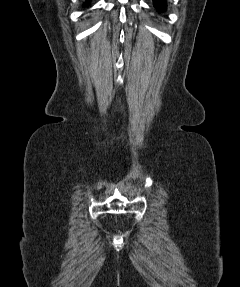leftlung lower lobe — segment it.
I'll use <instances>...</instances> for the list:
<instances>
[{"mask_svg":"<svg viewBox=\"0 0 240 287\" xmlns=\"http://www.w3.org/2000/svg\"><path fill=\"white\" fill-rule=\"evenodd\" d=\"M156 8L160 11H164L166 9V3L164 0H153Z\"/></svg>","mask_w":240,"mask_h":287,"instance_id":"left-lung-lower-lobe-1","label":"left lung lower lobe"}]
</instances>
